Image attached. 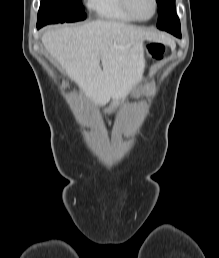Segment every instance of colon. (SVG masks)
<instances>
[{
  "mask_svg": "<svg viewBox=\"0 0 219 258\" xmlns=\"http://www.w3.org/2000/svg\"><path fill=\"white\" fill-rule=\"evenodd\" d=\"M146 49L148 54L155 60L161 59L165 51L164 45L156 42L147 44Z\"/></svg>",
  "mask_w": 219,
  "mask_h": 258,
  "instance_id": "5ec220e1",
  "label": "colon"
}]
</instances>
